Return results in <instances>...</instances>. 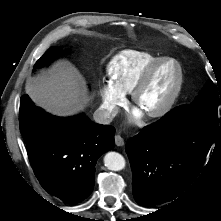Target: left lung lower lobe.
Wrapping results in <instances>:
<instances>
[{
    "label": "left lung lower lobe",
    "mask_w": 221,
    "mask_h": 221,
    "mask_svg": "<svg viewBox=\"0 0 221 221\" xmlns=\"http://www.w3.org/2000/svg\"><path fill=\"white\" fill-rule=\"evenodd\" d=\"M167 115L144 127L126 144L133 195L142 206L171 201L201 170L220 133V129L208 126H180Z\"/></svg>",
    "instance_id": "1"
}]
</instances>
